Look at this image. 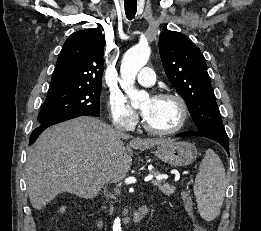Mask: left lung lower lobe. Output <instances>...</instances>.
<instances>
[{"label":"left lung lower lobe","instance_id":"obj_1","mask_svg":"<svg viewBox=\"0 0 261 231\" xmlns=\"http://www.w3.org/2000/svg\"><path fill=\"white\" fill-rule=\"evenodd\" d=\"M176 136L177 137L204 136V134H202L200 132L186 131V132H182V133H180ZM209 139L215 140L216 142L220 143L229 154V142H228V140H222V139H219V138H209Z\"/></svg>","mask_w":261,"mask_h":231}]
</instances>
